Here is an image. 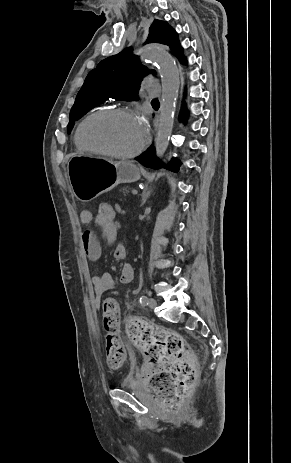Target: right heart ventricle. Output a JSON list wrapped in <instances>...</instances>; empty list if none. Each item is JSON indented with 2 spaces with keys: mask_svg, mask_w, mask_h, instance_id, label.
<instances>
[{
  "mask_svg": "<svg viewBox=\"0 0 291 463\" xmlns=\"http://www.w3.org/2000/svg\"><path fill=\"white\" fill-rule=\"evenodd\" d=\"M100 110H105V109H100ZM100 110H98V111H100ZM80 124H81V123H80ZM80 124H79V125H80ZM78 128H79V126L77 127V129H76V131H75V135H74L75 145H76V147H77L78 150H80V151H86L87 149H85V148L83 147V145L80 143V141H79V139H78V135H77V134H78Z\"/></svg>",
  "mask_w": 291,
  "mask_h": 463,
  "instance_id": "e07e8e85",
  "label": "right heart ventricle"
}]
</instances>
